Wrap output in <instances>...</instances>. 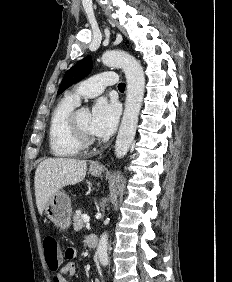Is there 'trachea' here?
Segmentation results:
<instances>
[{
	"instance_id": "1",
	"label": "trachea",
	"mask_w": 232,
	"mask_h": 282,
	"mask_svg": "<svg viewBox=\"0 0 232 282\" xmlns=\"http://www.w3.org/2000/svg\"><path fill=\"white\" fill-rule=\"evenodd\" d=\"M118 89L119 90H124L125 89V84L124 83H119Z\"/></svg>"
}]
</instances>
